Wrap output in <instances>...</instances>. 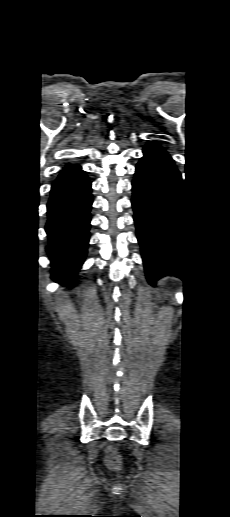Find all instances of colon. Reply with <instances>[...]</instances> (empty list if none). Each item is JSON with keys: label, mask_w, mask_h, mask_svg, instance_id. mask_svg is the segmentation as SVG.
Returning a JSON list of instances; mask_svg holds the SVG:
<instances>
[{"label": "colon", "mask_w": 230, "mask_h": 517, "mask_svg": "<svg viewBox=\"0 0 230 517\" xmlns=\"http://www.w3.org/2000/svg\"><path fill=\"white\" fill-rule=\"evenodd\" d=\"M105 463L110 469H119L121 467L120 455L113 448H109L106 451Z\"/></svg>", "instance_id": "colon-1"}]
</instances>
